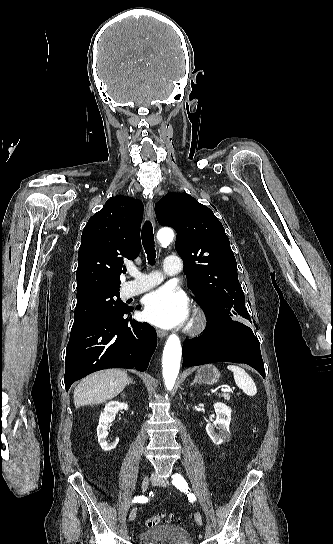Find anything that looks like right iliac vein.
I'll return each instance as SVG.
<instances>
[{"instance_id":"1","label":"right iliac vein","mask_w":333,"mask_h":544,"mask_svg":"<svg viewBox=\"0 0 333 544\" xmlns=\"http://www.w3.org/2000/svg\"><path fill=\"white\" fill-rule=\"evenodd\" d=\"M149 486V478L147 476L144 477L143 481H142V485H141V489L143 492H145L147 490ZM136 514H137V508L134 507L132 509V511L130 512V515H129V521H133L136 517Z\"/></svg>"}]
</instances>
